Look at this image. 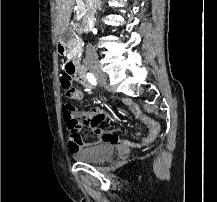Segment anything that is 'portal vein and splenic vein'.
<instances>
[{"label": "portal vein and splenic vein", "instance_id": "18ae733b", "mask_svg": "<svg viewBox=\"0 0 217 202\" xmlns=\"http://www.w3.org/2000/svg\"><path fill=\"white\" fill-rule=\"evenodd\" d=\"M76 2H78V4H80V2H82V0H76Z\"/></svg>", "mask_w": 217, "mask_h": 202}]
</instances>
